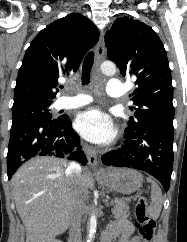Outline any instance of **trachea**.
Here are the masks:
<instances>
[{"label": "trachea", "mask_w": 187, "mask_h": 242, "mask_svg": "<svg viewBox=\"0 0 187 242\" xmlns=\"http://www.w3.org/2000/svg\"><path fill=\"white\" fill-rule=\"evenodd\" d=\"M94 62V52L91 51L89 52L83 62V67H82V84H88L90 81V72L91 68Z\"/></svg>", "instance_id": "obj_1"}]
</instances>
